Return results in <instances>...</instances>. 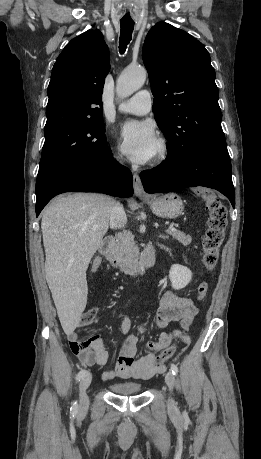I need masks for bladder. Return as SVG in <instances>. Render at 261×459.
I'll return each mask as SVG.
<instances>
[{"instance_id":"31cf9c89","label":"bladder","mask_w":261,"mask_h":459,"mask_svg":"<svg viewBox=\"0 0 261 459\" xmlns=\"http://www.w3.org/2000/svg\"><path fill=\"white\" fill-rule=\"evenodd\" d=\"M110 389L116 394L132 395L140 393L142 385L137 382L124 381L111 384Z\"/></svg>"}]
</instances>
